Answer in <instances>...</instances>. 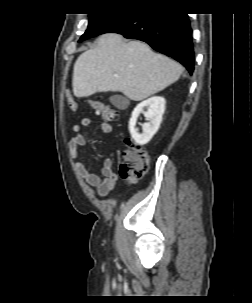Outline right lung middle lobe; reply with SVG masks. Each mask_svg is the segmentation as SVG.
I'll return each mask as SVG.
<instances>
[{"instance_id":"1","label":"right lung middle lobe","mask_w":252,"mask_h":303,"mask_svg":"<svg viewBox=\"0 0 252 303\" xmlns=\"http://www.w3.org/2000/svg\"><path fill=\"white\" fill-rule=\"evenodd\" d=\"M124 12L125 11L89 14L88 28L81 36L79 42L101 34L108 25L114 22Z\"/></svg>"}]
</instances>
